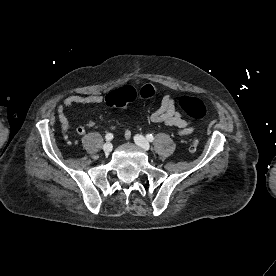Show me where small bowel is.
I'll use <instances>...</instances> for the list:
<instances>
[{
	"mask_svg": "<svg viewBox=\"0 0 276 276\" xmlns=\"http://www.w3.org/2000/svg\"><path fill=\"white\" fill-rule=\"evenodd\" d=\"M102 102L103 97L98 94L68 96L57 108L58 118L64 126H67L66 110L70 106L74 104H100ZM150 120L154 123L175 127L180 136H188L195 130V124L185 119L176 108V97L172 93H166L162 96L160 106L150 115ZM93 126L94 122L92 120H87L85 124L79 125L76 131L79 135H84L87 129ZM124 138L126 140L131 138V132L129 130L124 131Z\"/></svg>",
	"mask_w": 276,
	"mask_h": 276,
	"instance_id": "c3829d8e",
	"label": "small bowel"
}]
</instances>
